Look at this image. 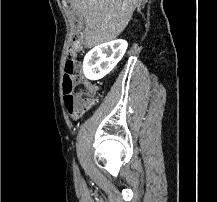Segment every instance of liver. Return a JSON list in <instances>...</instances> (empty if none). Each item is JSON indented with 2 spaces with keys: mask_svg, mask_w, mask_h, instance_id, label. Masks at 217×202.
I'll list each match as a JSON object with an SVG mask.
<instances>
[{
  "mask_svg": "<svg viewBox=\"0 0 217 202\" xmlns=\"http://www.w3.org/2000/svg\"><path fill=\"white\" fill-rule=\"evenodd\" d=\"M76 14L84 18L87 48L106 44L128 26L141 0H68Z\"/></svg>",
  "mask_w": 217,
  "mask_h": 202,
  "instance_id": "obj_1",
  "label": "liver"
}]
</instances>
